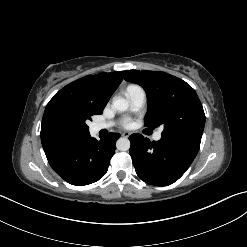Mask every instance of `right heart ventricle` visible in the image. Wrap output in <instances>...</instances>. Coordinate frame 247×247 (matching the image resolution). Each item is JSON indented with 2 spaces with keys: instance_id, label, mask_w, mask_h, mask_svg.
I'll return each instance as SVG.
<instances>
[{
  "instance_id": "e07e8e85",
  "label": "right heart ventricle",
  "mask_w": 247,
  "mask_h": 247,
  "mask_svg": "<svg viewBox=\"0 0 247 247\" xmlns=\"http://www.w3.org/2000/svg\"><path fill=\"white\" fill-rule=\"evenodd\" d=\"M138 86L137 85H129L127 88H126V91L127 90H130V89H133V88H137Z\"/></svg>"
}]
</instances>
